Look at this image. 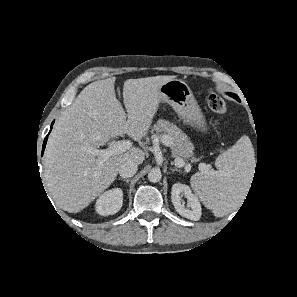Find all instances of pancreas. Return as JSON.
<instances>
[{
	"mask_svg": "<svg viewBox=\"0 0 297 297\" xmlns=\"http://www.w3.org/2000/svg\"><path fill=\"white\" fill-rule=\"evenodd\" d=\"M154 131L156 132L154 137H159V135L162 137L164 135L168 136L173 157L189 159L193 156V143L175 124L159 119L154 125Z\"/></svg>",
	"mask_w": 297,
	"mask_h": 297,
	"instance_id": "obj_1",
	"label": "pancreas"
}]
</instances>
